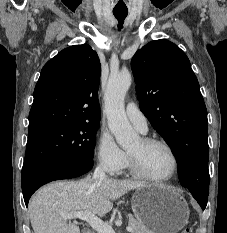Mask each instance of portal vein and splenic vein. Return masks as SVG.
<instances>
[{"label": "portal vein and splenic vein", "mask_w": 227, "mask_h": 233, "mask_svg": "<svg viewBox=\"0 0 227 233\" xmlns=\"http://www.w3.org/2000/svg\"><path fill=\"white\" fill-rule=\"evenodd\" d=\"M64 217L70 220L73 218H79L81 220H84L88 222L90 226L98 233H115L112 226L103 222L100 218H98L89 211L74 212V213L66 214L64 215ZM126 230L131 232L132 228L129 226L126 228Z\"/></svg>", "instance_id": "portal-vein-and-splenic-vein-1"}]
</instances>
